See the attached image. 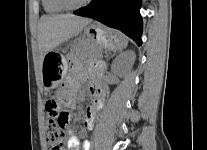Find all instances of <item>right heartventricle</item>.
Masks as SVG:
<instances>
[{"instance_id": "obj_1", "label": "right heart ventricle", "mask_w": 207, "mask_h": 150, "mask_svg": "<svg viewBox=\"0 0 207 150\" xmlns=\"http://www.w3.org/2000/svg\"><path fill=\"white\" fill-rule=\"evenodd\" d=\"M42 5L45 12L49 14H59L64 11V8H62L56 0H42Z\"/></svg>"}]
</instances>
